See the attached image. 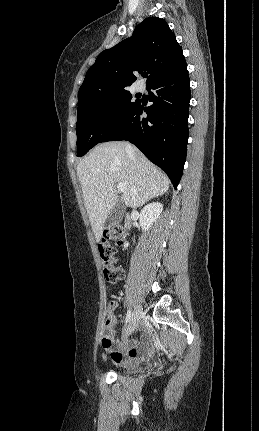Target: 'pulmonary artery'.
<instances>
[{"label":"pulmonary artery","mask_w":259,"mask_h":431,"mask_svg":"<svg viewBox=\"0 0 259 431\" xmlns=\"http://www.w3.org/2000/svg\"><path fill=\"white\" fill-rule=\"evenodd\" d=\"M136 89H137V91H141L143 89V87L141 84H137Z\"/></svg>","instance_id":"pulmonary-artery-1"}]
</instances>
